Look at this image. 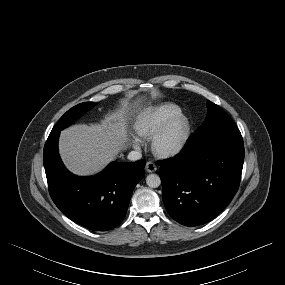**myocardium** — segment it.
I'll list each match as a JSON object with an SVG mask.
<instances>
[{
  "label": "myocardium",
  "instance_id": "f54148a6",
  "mask_svg": "<svg viewBox=\"0 0 285 285\" xmlns=\"http://www.w3.org/2000/svg\"><path fill=\"white\" fill-rule=\"evenodd\" d=\"M179 126V133L173 142L169 137L175 127ZM190 135V122L187 116L179 112L172 116L152 138V149L162 158H174L185 148Z\"/></svg>",
  "mask_w": 285,
  "mask_h": 285
}]
</instances>
